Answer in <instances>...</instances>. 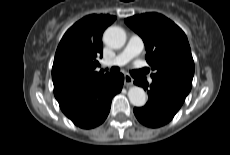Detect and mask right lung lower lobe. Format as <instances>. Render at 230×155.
I'll return each instance as SVG.
<instances>
[{
    "label": "right lung lower lobe",
    "mask_w": 230,
    "mask_h": 155,
    "mask_svg": "<svg viewBox=\"0 0 230 155\" xmlns=\"http://www.w3.org/2000/svg\"><path fill=\"white\" fill-rule=\"evenodd\" d=\"M123 82V74H110L86 91L58 103L75 125L84 129L94 128L105 121L112 98L121 91Z\"/></svg>",
    "instance_id": "1"
}]
</instances>
